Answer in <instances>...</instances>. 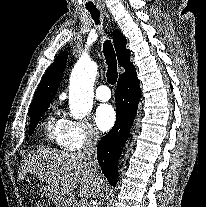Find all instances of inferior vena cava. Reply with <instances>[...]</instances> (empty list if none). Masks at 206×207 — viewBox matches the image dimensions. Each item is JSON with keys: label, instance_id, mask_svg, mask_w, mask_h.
I'll return each instance as SVG.
<instances>
[{"label": "inferior vena cava", "instance_id": "1", "mask_svg": "<svg viewBox=\"0 0 206 207\" xmlns=\"http://www.w3.org/2000/svg\"><path fill=\"white\" fill-rule=\"evenodd\" d=\"M97 142H98V134L94 130H91L90 133L87 135L82 150L80 152L81 157L84 160H86L88 163V167L93 174L94 183L98 191L97 194L98 203L96 204V206H92V207H101L102 197H103L102 188L100 184L101 172L97 160V148H96Z\"/></svg>", "mask_w": 206, "mask_h": 207}]
</instances>
